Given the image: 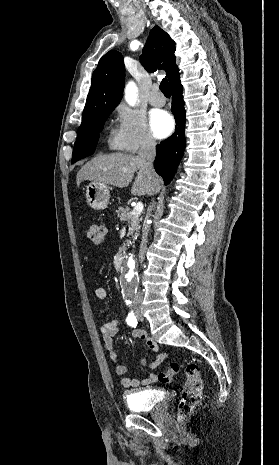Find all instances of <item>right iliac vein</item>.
Wrapping results in <instances>:
<instances>
[{
	"instance_id": "1",
	"label": "right iliac vein",
	"mask_w": 279,
	"mask_h": 465,
	"mask_svg": "<svg viewBox=\"0 0 279 465\" xmlns=\"http://www.w3.org/2000/svg\"><path fill=\"white\" fill-rule=\"evenodd\" d=\"M135 312H136L137 315L140 314V310H139V309L135 310Z\"/></svg>"
}]
</instances>
